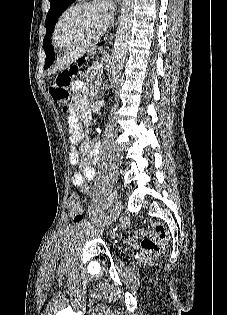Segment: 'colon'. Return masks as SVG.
<instances>
[{"mask_svg":"<svg viewBox=\"0 0 227 315\" xmlns=\"http://www.w3.org/2000/svg\"><path fill=\"white\" fill-rule=\"evenodd\" d=\"M80 65L81 62L73 64L56 75L50 87L51 95L55 101L65 103L68 100L72 78L77 74ZM67 208L75 222L83 220L84 207L77 191L69 193ZM134 237L140 240L141 251L138 254V259L149 260L156 257L165 249L169 240V233L163 222L156 221L152 224V234L143 230H137L134 232Z\"/></svg>","mask_w":227,"mask_h":315,"instance_id":"1","label":"colon"}]
</instances>
